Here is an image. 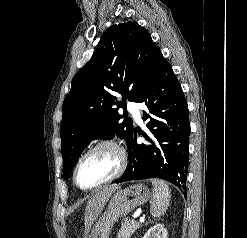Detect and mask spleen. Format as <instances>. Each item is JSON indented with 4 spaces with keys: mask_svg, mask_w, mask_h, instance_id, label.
<instances>
[{
    "mask_svg": "<svg viewBox=\"0 0 247 238\" xmlns=\"http://www.w3.org/2000/svg\"><path fill=\"white\" fill-rule=\"evenodd\" d=\"M152 185L153 193L150 212L153 217H160L169 207L170 189L165 181L159 179H153Z\"/></svg>",
    "mask_w": 247,
    "mask_h": 238,
    "instance_id": "3e777b00",
    "label": "spleen"
}]
</instances>
